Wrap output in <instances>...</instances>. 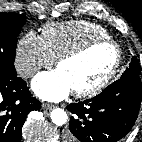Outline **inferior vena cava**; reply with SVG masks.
<instances>
[{"instance_id":"602c4592","label":"inferior vena cava","mask_w":142,"mask_h":142,"mask_svg":"<svg viewBox=\"0 0 142 142\" xmlns=\"http://www.w3.org/2000/svg\"><path fill=\"white\" fill-rule=\"evenodd\" d=\"M35 72H36V69H34V68H31V69H27V70H25L24 72H22V77H24V78H28V77H31V76H33L34 74H35Z\"/></svg>"}]
</instances>
